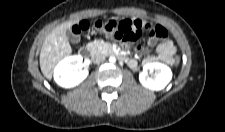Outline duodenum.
<instances>
[{
	"mask_svg": "<svg viewBox=\"0 0 225 132\" xmlns=\"http://www.w3.org/2000/svg\"><path fill=\"white\" fill-rule=\"evenodd\" d=\"M111 53L118 55L121 59H125L126 57L120 53L118 50H111Z\"/></svg>",
	"mask_w": 225,
	"mask_h": 132,
	"instance_id": "duodenum-1",
	"label": "duodenum"
}]
</instances>
